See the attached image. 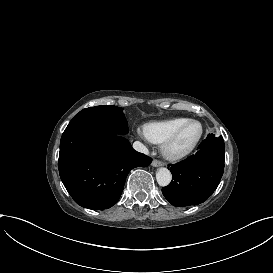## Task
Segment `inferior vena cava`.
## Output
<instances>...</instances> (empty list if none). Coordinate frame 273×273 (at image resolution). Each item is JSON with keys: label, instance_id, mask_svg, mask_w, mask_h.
I'll use <instances>...</instances> for the list:
<instances>
[{"label": "inferior vena cava", "instance_id": "602c4592", "mask_svg": "<svg viewBox=\"0 0 273 273\" xmlns=\"http://www.w3.org/2000/svg\"><path fill=\"white\" fill-rule=\"evenodd\" d=\"M133 148L138 152H142V153H146V154L149 153L148 148L140 141H135L133 143Z\"/></svg>", "mask_w": 273, "mask_h": 273}]
</instances>
